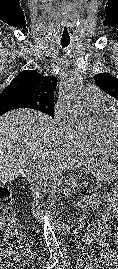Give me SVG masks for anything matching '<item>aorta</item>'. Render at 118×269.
I'll return each instance as SVG.
<instances>
[{
    "mask_svg": "<svg viewBox=\"0 0 118 269\" xmlns=\"http://www.w3.org/2000/svg\"><path fill=\"white\" fill-rule=\"evenodd\" d=\"M59 94L63 108L73 117L76 123L83 129H92L95 125L94 120L81 104L82 80L78 73H67L61 79ZM63 194L68 195V190H64ZM43 234L48 249L51 252H59V243L48 214L44 217Z\"/></svg>",
    "mask_w": 118,
    "mask_h": 269,
    "instance_id": "obj_1",
    "label": "aorta"
}]
</instances>
